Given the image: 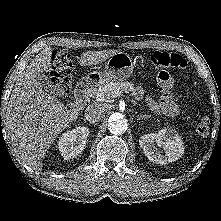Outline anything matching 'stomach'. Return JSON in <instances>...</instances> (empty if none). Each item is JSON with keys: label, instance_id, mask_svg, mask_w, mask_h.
<instances>
[{"label": "stomach", "instance_id": "obj_1", "mask_svg": "<svg viewBox=\"0 0 221 221\" xmlns=\"http://www.w3.org/2000/svg\"><path fill=\"white\" fill-rule=\"evenodd\" d=\"M133 69L132 58L124 52H117L108 59L103 73L94 72L88 79L100 84L110 81L122 82L132 75Z\"/></svg>", "mask_w": 221, "mask_h": 221}]
</instances>
